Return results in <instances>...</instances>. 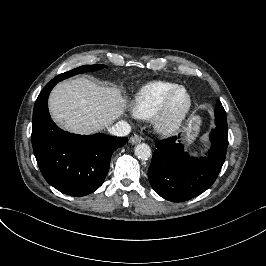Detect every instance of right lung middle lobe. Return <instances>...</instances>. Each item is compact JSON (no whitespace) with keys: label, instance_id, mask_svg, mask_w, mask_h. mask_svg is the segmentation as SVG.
<instances>
[{"label":"right lung middle lobe","instance_id":"obj_1","mask_svg":"<svg viewBox=\"0 0 266 266\" xmlns=\"http://www.w3.org/2000/svg\"><path fill=\"white\" fill-rule=\"evenodd\" d=\"M105 67H106L105 65H84V66H80L78 68L72 69L68 72L62 73L56 76L53 80L61 81L71 76H74L76 74L85 73V72H93V71L101 70Z\"/></svg>","mask_w":266,"mask_h":266}]
</instances>
